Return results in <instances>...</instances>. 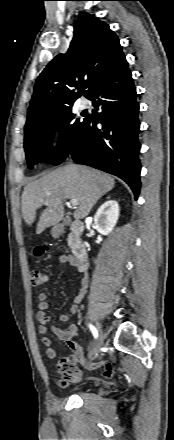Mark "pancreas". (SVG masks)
Returning <instances> with one entry per match:
<instances>
[{"label": "pancreas", "instance_id": "1", "mask_svg": "<svg viewBox=\"0 0 174 440\" xmlns=\"http://www.w3.org/2000/svg\"><path fill=\"white\" fill-rule=\"evenodd\" d=\"M68 244L71 245L72 244V239L69 237L68 238Z\"/></svg>", "mask_w": 174, "mask_h": 440}]
</instances>
